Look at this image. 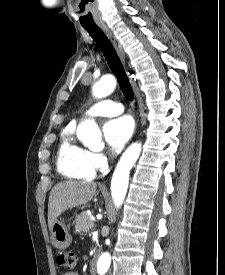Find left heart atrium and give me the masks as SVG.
Wrapping results in <instances>:
<instances>
[{"instance_id":"obj_1","label":"left heart atrium","mask_w":225,"mask_h":275,"mask_svg":"<svg viewBox=\"0 0 225 275\" xmlns=\"http://www.w3.org/2000/svg\"><path fill=\"white\" fill-rule=\"evenodd\" d=\"M106 142L116 153L128 142L133 133V122L128 116L109 120L103 128Z\"/></svg>"}]
</instances>
